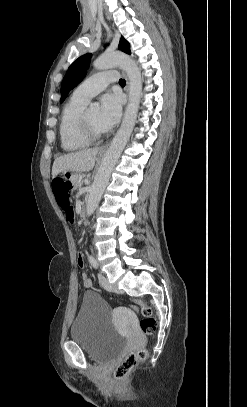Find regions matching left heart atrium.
<instances>
[{"label":"left heart atrium","instance_id":"left-heart-atrium-1","mask_svg":"<svg viewBox=\"0 0 247 407\" xmlns=\"http://www.w3.org/2000/svg\"><path fill=\"white\" fill-rule=\"evenodd\" d=\"M122 99L117 94H106L101 98L99 122L107 130L114 126L121 115Z\"/></svg>","mask_w":247,"mask_h":407}]
</instances>
